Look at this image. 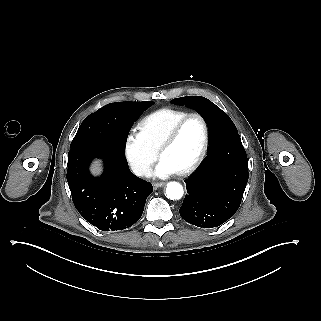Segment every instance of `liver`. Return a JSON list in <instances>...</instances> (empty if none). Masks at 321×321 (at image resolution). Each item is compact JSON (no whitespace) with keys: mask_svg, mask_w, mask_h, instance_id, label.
<instances>
[{"mask_svg":"<svg viewBox=\"0 0 321 321\" xmlns=\"http://www.w3.org/2000/svg\"><path fill=\"white\" fill-rule=\"evenodd\" d=\"M90 170H91L92 174H94V175L100 174L101 171H102L101 161L100 160L94 161V163L92 164Z\"/></svg>","mask_w":321,"mask_h":321,"instance_id":"liver-1","label":"liver"}]
</instances>
